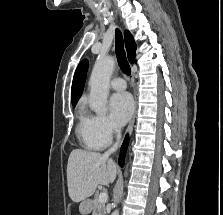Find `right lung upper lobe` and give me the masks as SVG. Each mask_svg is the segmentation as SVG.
Wrapping results in <instances>:
<instances>
[{
	"mask_svg": "<svg viewBox=\"0 0 223 215\" xmlns=\"http://www.w3.org/2000/svg\"><path fill=\"white\" fill-rule=\"evenodd\" d=\"M125 45L127 49L128 59L131 63L134 62L136 56V44L134 42L133 36L130 34L129 31H125ZM88 69V61L83 60L77 67L73 83H72V93H71V100L72 105L75 106L77 101L79 100L86 79V73Z\"/></svg>",
	"mask_w": 223,
	"mask_h": 215,
	"instance_id": "cb5924a9",
	"label": "right lung upper lobe"
}]
</instances>
